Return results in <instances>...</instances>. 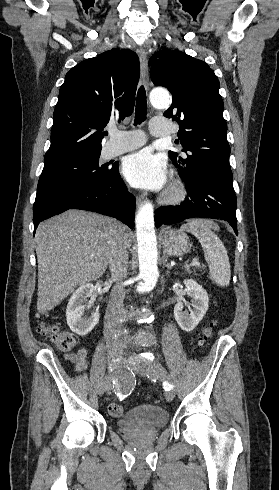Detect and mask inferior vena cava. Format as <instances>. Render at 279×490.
<instances>
[{
  "instance_id": "obj_1",
  "label": "inferior vena cava",
  "mask_w": 279,
  "mask_h": 490,
  "mask_svg": "<svg viewBox=\"0 0 279 490\" xmlns=\"http://www.w3.org/2000/svg\"><path fill=\"white\" fill-rule=\"evenodd\" d=\"M120 226V224H119ZM129 244L122 232L117 230L115 240L112 242L109 254V268L111 272L110 282H116L113 286L105 314V320L109 326H120L122 324L123 302L125 298V286H122L124 278L128 276V250Z\"/></svg>"
}]
</instances>
